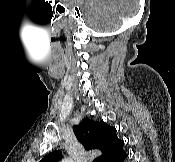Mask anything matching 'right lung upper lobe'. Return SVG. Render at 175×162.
<instances>
[{"instance_id": "cb5924a9", "label": "right lung upper lobe", "mask_w": 175, "mask_h": 162, "mask_svg": "<svg viewBox=\"0 0 175 162\" xmlns=\"http://www.w3.org/2000/svg\"><path fill=\"white\" fill-rule=\"evenodd\" d=\"M76 138L85 149H98L102 152L94 162H109L123 150L124 142L118 139L115 127L88 118L83 119L73 127ZM62 157L61 151H54L45 156L40 162H58Z\"/></svg>"}]
</instances>
